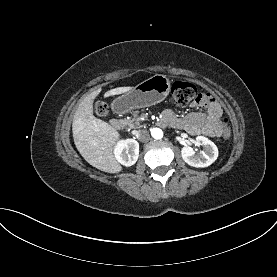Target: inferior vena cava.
<instances>
[{"label": "inferior vena cava", "mask_w": 277, "mask_h": 277, "mask_svg": "<svg viewBox=\"0 0 277 277\" xmlns=\"http://www.w3.org/2000/svg\"><path fill=\"white\" fill-rule=\"evenodd\" d=\"M136 137L141 142H147L150 139V134L147 130H139L136 133Z\"/></svg>", "instance_id": "inferior-vena-cava-1"}]
</instances>
